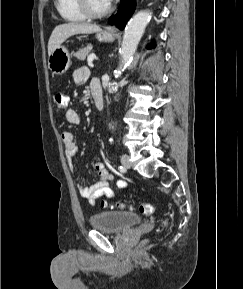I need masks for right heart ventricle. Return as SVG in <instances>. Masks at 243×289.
<instances>
[{"instance_id":"obj_1","label":"right heart ventricle","mask_w":243,"mask_h":289,"mask_svg":"<svg viewBox=\"0 0 243 289\" xmlns=\"http://www.w3.org/2000/svg\"><path fill=\"white\" fill-rule=\"evenodd\" d=\"M56 9L66 21L82 22L87 19L80 10L77 0H56Z\"/></svg>"}]
</instances>
